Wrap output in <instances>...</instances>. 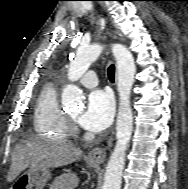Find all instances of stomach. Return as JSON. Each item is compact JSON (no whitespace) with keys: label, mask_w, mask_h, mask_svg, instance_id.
<instances>
[{"label":"stomach","mask_w":188,"mask_h":189,"mask_svg":"<svg viewBox=\"0 0 188 189\" xmlns=\"http://www.w3.org/2000/svg\"><path fill=\"white\" fill-rule=\"evenodd\" d=\"M89 166L97 167L98 164L89 162ZM50 178L49 168H29L15 180L11 189H43Z\"/></svg>","instance_id":"obj_1"}]
</instances>
